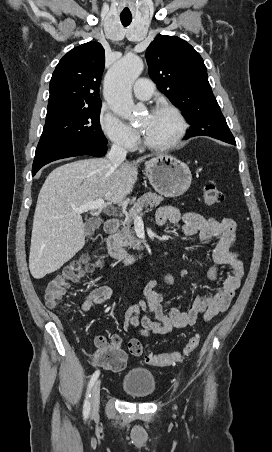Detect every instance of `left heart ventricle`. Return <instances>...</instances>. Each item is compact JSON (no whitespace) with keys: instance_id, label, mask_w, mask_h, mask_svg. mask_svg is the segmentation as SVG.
Instances as JSON below:
<instances>
[{"instance_id":"1","label":"left heart ventricle","mask_w":272,"mask_h":452,"mask_svg":"<svg viewBox=\"0 0 272 452\" xmlns=\"http://www.w3.org/2000/svg\"><path fill=\"white\" fill-rule=\"evenodd\" d=\"M143 137L151 143H164L175 134L177 122L173 116L166 112L148 114L139 122Z\"/></svg>"}]
</instances>
